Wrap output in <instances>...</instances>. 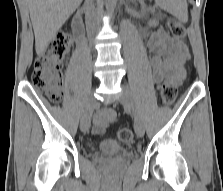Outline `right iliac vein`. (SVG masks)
I'll return each mask as SVG.
<instances>
[{
    "mask_svg": "<svg viewBox=\"0 0 223 191\" xmlns=\"http://www.w3.org/2000/svg\"><path fill=\"white\" fill-rule=\"evenodd\" d=\"M95 104L96 99L94 97V93L91 92L86 99L85 107L80 121V128L83 132H88L90 128L91 114L95 107Z\"/></svg>",
    "mask_w": 223,
    "mask_h": 191,
    "instance_id": "right-iliac-vein-1",
    "label": "right iliac vein"
}]
</instances>
